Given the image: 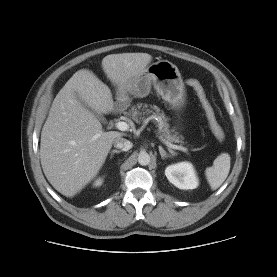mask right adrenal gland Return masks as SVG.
Listing matches in <instances>:
<instances>
[{
  "instance_id": "obj_1",
  "label": "right adrenal gland",
  "mask_w": 277,
  "mask_h": 277,
  "mask_svg": "<svg viewBox=\"0 0 277 277\" xmlns=\"http://www.w3.org/2000/svg\"><path fill=\"white\" fill-rule=\"evenodd\" d=\"M120 152H121L120 150H112L110 158H112L115 153L119 154Z\"/></svg>"
}]
</instances>
